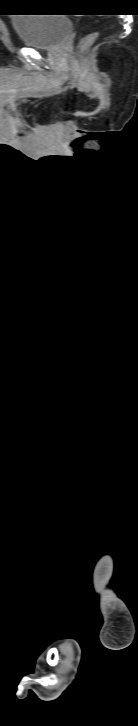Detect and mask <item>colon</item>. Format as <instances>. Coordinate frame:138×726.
Returning <instances> with one entry per match:
<instances>
[{
    "label": "colon",
    "mask_w": 138,
    "mask_h": 726,
    "mask_svg": "<svg viewBox=\"0 0 138 726\" xmlns=\"http://www.w3.org/2000/svg\"><path fill=\"white\" fill-rule=\"evenodd\" d=\"M97 37H98L97 32H91V33L85 35L84 37H82L78 43V52L83 53Z\"/></svg>",
    "instance_id": "5ec220e1"
}]
</instances>
